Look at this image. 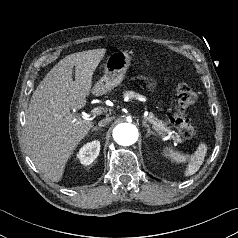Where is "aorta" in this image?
Segmentation results:
<instances>
[{"label":"aorta","instance_id":"aorta-1","mask_svg":"<svg viewBox=\"0 0 238 238\" xmlns=\"http://www.w3.org/2000/svg\"><path fill=\"white\" fill-rule=\"evenodd\" d=\"M114 140L122 146H130L138 139V130L131 123L118 124L113 130Z\"/></svg>","mask_w":238,"mask_h":238}]
</instances>
